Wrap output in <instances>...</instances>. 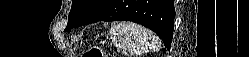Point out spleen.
<instances>
[{"label":"spleen","instance_id":"obj_1","mask_svg":"<svg viewBox=\"0 0 249 57\" xmlns=\"http://www.w3.org/2000/svg\"><path fill=\"white\" fill-rule=\"evenodd\" d=\"M110 37L116 46L141 55L158 50L159 38L148 29L132 22H119L110 29Z\"/></svg>","mask_w":249,"mask_h":57}]
</instances>
